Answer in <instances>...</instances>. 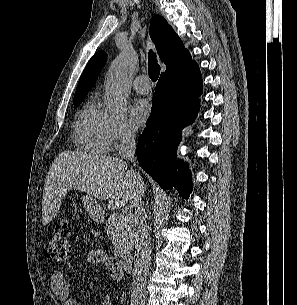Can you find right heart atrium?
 <instances>
[{"label": "right heart atrium", "instance_id": "1", "mask_svg": "<svg viewBox=\"0 0 297 305\" xmlns=\"http://www.w3.org/2000/svg\"><path fill=\"white\" fill-rule=\"evenodd\" d=\"M109 128L112 144L116 149L124 148L136 139V129L125 117L111 115Z\"/></svg>", "mask_w": 297, "mask_h": 305}]
</instances>
